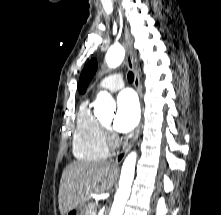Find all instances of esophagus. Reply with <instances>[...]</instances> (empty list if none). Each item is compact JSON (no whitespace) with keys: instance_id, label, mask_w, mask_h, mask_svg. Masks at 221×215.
<instances>
[{"instance_id":"obj_1","label":"esophagus","mask_w":221,"mask_h":215,"mask_svg":"<svg viewBox=\"0 0 221 215\" xmlns=\"http://www.w3.org/2000/svg\"><path fill=\"white\" fill-rule=\"evenodd\" d=\"M124 36H125V48H126V53H127V55H126L127 65L129 67V69H131L133 71L134 86H135L136 91L138 93L141 107H143L140 80H139V75H138V72H137V69H136V66H135L134 51H133V40H132V37L130 35V32H129V29H128L127 25H125V27H124ZM142 124H143V118H141L140 123L136 128V131H135V134H134L133 138L130 140V142L126 146H124L122 148V150L120 152H118V154L115 158V161H114L115 166H118L122 163L125 156L129 152V150L131 149L133 144L136 142V140L139 136Z\"/></svg>"}]
</instances>
